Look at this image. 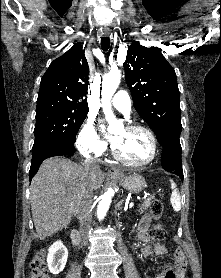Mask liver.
Here are the masks:
<instances>
[{"mask_svg":"<svg viewBox=\"0 0 221 278\" xmlns=\"http://www.w3.org/2000/svg\"><path fill=\"white\" fill-rule=\"evenodd\" d=\"M104 179L101 171L88 178L83 166L67 158L46 159L30 186L32 216L40 240L69 225L86 183L98 190Z\"/></svg>","mask_w":221,"mask_h":278,"instance_id":"6515ba94","label":"liver"}]
</instances>
